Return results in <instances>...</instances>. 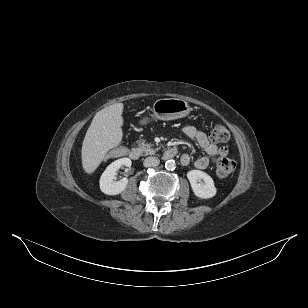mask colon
I'll return each mask as SVG.
<instances>
[{"label":"colon","instance_id":"obj_1","mask_svg":"<svg viewBox=\"0 0 308 308\" xmlns=\"http://www.w3.org/2000/svg\"><path fill=\"white\" fill-rule=\"evenodd\" d=\"M210 137L212 141L217 143H225L229 140L230 134L227 128L222 124H216L211 130ZM130 152V147L127 144L115 146L112 152L105 155L104 160L108 161L110 157L120 158L122 155H127ZM235 162L227 157L219 158L216 165V175L220 179H227L235 170Z\"/></svg>","mask_w":308,"mask_h":308}]
</instances>
